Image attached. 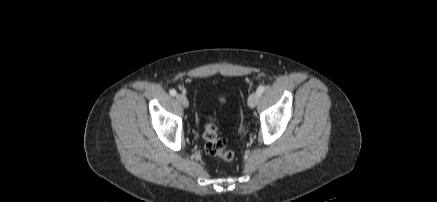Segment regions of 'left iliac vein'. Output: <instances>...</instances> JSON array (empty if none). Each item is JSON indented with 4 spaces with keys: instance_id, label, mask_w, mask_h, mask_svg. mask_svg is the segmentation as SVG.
Segmentation results:
<instances>
[{
    "instance_id": "1",
    "label": "left iliac vein",
    "mask_w": 437,
    "mask_h": 202,
    "mask_svg": "<svg viewBox=\"0 0 437 202\" xmlns=\"http://www.w3.org/2000/svg\"><path fill=\"white\" fill-rule=\"evenodd\" d=\"M259 95L256 93H252L248 98V106L250 108H254L256 104L258 103Z\"/></svg>"
}]
</instances>
